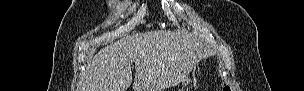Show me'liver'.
I'll return each instance as SVG.
<instances>
[{
    "label": "liver",
    "mask_w": 304,
    "mask_h": 91,
    "mask_svg": "<svg viewBox=\"0 0 304 91\" xmlns=\"http://www.w3.org/2000/svg\"><path fill=\"white\" fill-rule=\"evenodd\" d=\"M211 50L181 32L154 30L125 35L101 49L88 64L79 91H162L183 82Z\"/></svg>",
    "instance_id": "6515ba94"
}]
</instances>
